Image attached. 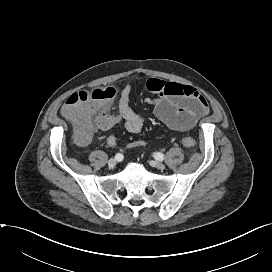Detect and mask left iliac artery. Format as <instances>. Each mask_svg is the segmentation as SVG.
<instances>
[{
	"label": "left iliac artery",
	"instance_id": "left-iliac-artery-1",
	"mask_svg": "<svg viewBox=\"0 0 272 272\" xmlns=\"http://www.w3.org/2000/svg\"><path fill=\"white\" fill-rule=\"evenodd\" d=\"M154 158L159 160V161H163L164 160V154L160 153V152H156V153H154Z\"/></svg>",
	"mask_w": 272,
	"mask_h": 272
}]
</instances>
